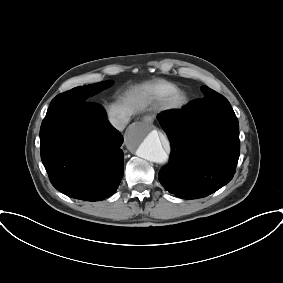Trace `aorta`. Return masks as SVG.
Instances as JSON below:
<instances>
[{
    "label": "aorta",
    "instance_id": "obj_1",
    "mask_svg": "<svg viewBox=\"0 0 283 283\" xmlns=\"http://www.w3.org/2000/svg\"><path fill=\"white\" fill-rule=\"evenodd\" d=\"M126 145L150 162L165 164L168 154L164 150L160 135L150 124L136 123L127 132Z\"/></svg>",
    "mask_w": 283,
    "mask_h": 283
}]
</instances>
